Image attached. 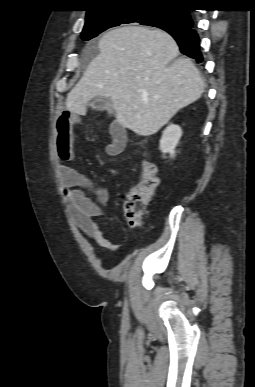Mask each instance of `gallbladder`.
<instances>
[{
	"label": "gallbladder",
	"instance_id": "obj_1",
	"mask_svg": "<svg viewBox=\"0 0 255 387\" xmlns=\"http://www.w3.org/2000/svg\"><path fill=\"white\" fill-rule=\"evenodd\" d=\"M90 106L98 110H111V101L104 97H95L91 100Z\"/></svg>",
	"mask_w": 255,
	"mask_h": 387
}]
</instances>
